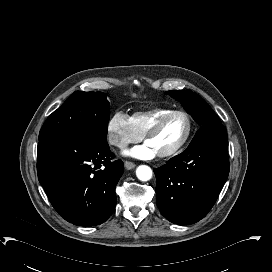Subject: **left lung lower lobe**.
Masks as SVG:
<instances>
[{
    "label": "left lung lower lobe",
    "mask_w": 272,
    "mask_h": 272,
    "mask_svg": "<svg viewBox=\"0 0 272 272\" xmlns=\"http://www.w3.org/2000/svg\"><path fill=\"white\" fill-rule=\"evenodd\" d=\"M154 172L156 203L162 215L180 225L201 220L216 202L229 174L225 127L202 125L184 152Z\"/></svg>",
    "instance_id": "left-lung-lower-lobe-1"
}]
</instances>
